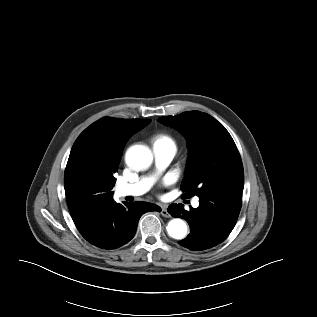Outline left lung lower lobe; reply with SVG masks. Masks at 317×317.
I'll list each match as a JSON object with an SVG mask.
<instances>
[{"label": "left lung lower lobe", "instance_id": "obj_1", "mask_svg": "<svg viewBox=\"0 0 317 317\" xmlns=\"http://www.w3.org/2000/svg\"><path fill=\"white\" fill-rule=\"evenodd\" d=\"M241 203V192L214 191L199 196V207L190 211L182 204H171L168 212L173 217L184 218L191 228V233L179 244L199 251L223 242L236 224Z\"/></svg>", "mask_w": 317, "mask_h": 317}]
</instances>
